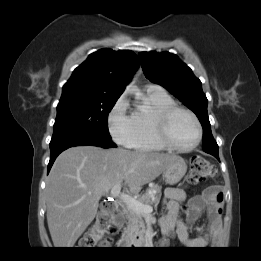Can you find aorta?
<instances>
[{"label":"aorta","instance_id":"obj_1","mask_svg":"<svg viewBox=\"0 0 261 261\" xmlns=\"http://www.w3.org/2000/svg\"><path fill=\"white\" fill-rule=\"evenodd\" d=\"M127 90H128L129 92H133L135 89H134V87H132V86H128V87H127Z\"/></svg>","mask_w":261,"mask_h":261}]
</instances>
